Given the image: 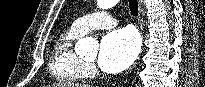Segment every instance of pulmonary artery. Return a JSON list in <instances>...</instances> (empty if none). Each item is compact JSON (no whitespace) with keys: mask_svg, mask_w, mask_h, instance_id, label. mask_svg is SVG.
Segmentation results:
<instances>
[{"mask_svg":"<svg viewBox=\"0 0 205 87\" xmlns=\"http://www.w3.org/2000/svg\"><path fill=\"white\" fill-rule=\"evenodd\" d=\"M117 25V20L106 11H97L76 19L72 26L87 34L94 29H108Z\"/></svg>","mask_w":205,"mask_h":87,"instance_id":"e3ab8cb5","label":"pulmonary artery"}]
</instances>
